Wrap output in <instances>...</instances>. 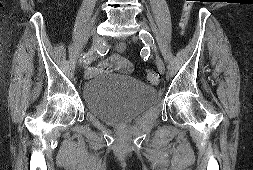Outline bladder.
Listing matches in <instances>:
<instances>
[{"mask_svg":"<svg viewBox=\"0 0 253 170\" xmlns=\"http://www.w3.org/2000/svg\"><path fill=\"white\" fill-rule=\"evenodd\" d=\"M87 109L103 122L123 125L151 108L157 99L156 88L131 76L104 72L82 86Z\"/></svg>","mask_w":253,"mask_h":170,"instance_id":"obj_1","label":"bladder"}]
</instances>
